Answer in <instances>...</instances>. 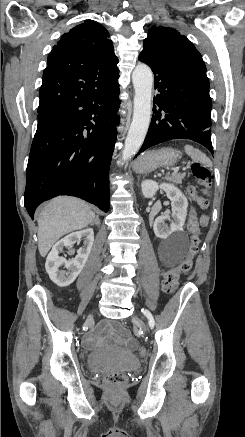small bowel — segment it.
Wrapping results in <instances>:
<instances>
[{"label":"small bowel","instance_id":"obj_1","mask_svg":"<svg viewBox=\"0 0 245 437\" xmlns=\"http://www.w3.org/2000/svg\"><path fill=\"white\" fill-rule=\"evenodd\" d=\"M207 223V217L203 216L198 220L195 212L193 210L190 211L188 218V229L191 232L198 233L199 227L204 226ZM100 332L106 335L107 337H111L116 341L121 342L127 348H133L136 344L135 340L131 338L128 332L122 328H114L113 326L104 323L100 327ZM95 342L94 338H89L88 343L93 344Z\"/></svg>","mask_w":245,"mask_h":437}]
</instances>
